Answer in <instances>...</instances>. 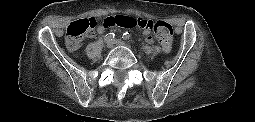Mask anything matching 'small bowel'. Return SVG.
Listing matches in <instances>:
<instances>
[{
  "mask_svg": "<svg viewBox=\"0 0 255 122\" xmlns=\"http://www.w3.org/2000/svg\"><path fill=\"white\" fill-rule=\"evenodd\" d=\"M107 19H108V18H106L102 23H100V24L98 25L97 30H96L98 34H103V33H105L110 27H112L111 25H109V24L107 23ZM144 33L147 35V37H146V42L149 43V44H152V43L154 42V39H153L152 36L148 35V34H149V31H144ZM90 35H92V34H90Z\"/></svg>",
  "mask_w": 255,
  "mask_h": 122,
  "instance_id": "c3829d8e",
  "label": "small bowel"
}]
</instances>
